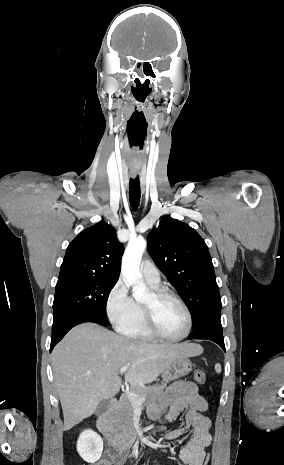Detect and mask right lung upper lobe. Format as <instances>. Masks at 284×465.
<instances>
[{"mask_svg":"<svg viewBox=\"0 0 284 465\" xmlns=\"http://www.w3.org/2000/svg\"><path fill=\"white\" fill-rule=\"evenodd\" d=\"M124 246L103 220L82 231L68 246L59 278L82 276L118 280Z\"/></svg>","mask_w":284,"mask_h":465,"instance_id":"cb5924a9","label":"right lung upper lobe"}]
</instances>
